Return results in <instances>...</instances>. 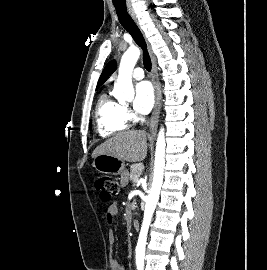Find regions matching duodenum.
<instances>
[{"mask_svg":"<svg viewBox=\"0 0 267 270\" xmlns=\"http://www.w3.org/2000/svg\"><path fill=\"white\" fill-rule=\"evenodd\" d=\"M132 225H133L134 229H138L139 226H140V223H139V221L137 219H134L132 221Z\"/></svg>","mask_w":267,"mask_h":270,"instance_id":"410a0bca","label":"duodenum"}]
</instances>
